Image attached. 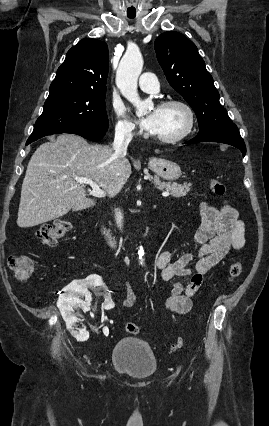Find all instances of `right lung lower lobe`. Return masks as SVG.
<instances>
[{
  "mask_svg": "<svg viewBox=\"0 0 269 426\" xmlns=\"http://www.w3.org/2000/svg\"><path fill=\"white\" fill-rule=\"evenodd\" d=\"M106 131L107 130L90 128V127H83V128H79V129L74 130V131L66 132V133L77 134V135H80V136H82V137H84L88 140L97 141V140H100L105 135ZM31 142H33V141L28 140L26 144L28 145Z\"/></svg>",
  "mask_w": 269,
  "mask_h": 426,
  "instance_id": "1",
  "label": "right lung lower lobe"
}]
</instances>
